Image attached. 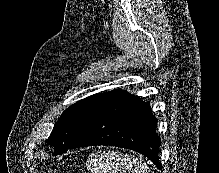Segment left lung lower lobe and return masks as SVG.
Instances as JSON below:
<instances>
[{
	"instance_id": "1",
	"label": "left lung lower lobe",
	"mask_w": 219,
	"mask_h": 173,
	"mask_svg": "<svg viewBox=\"0 0 219 173\" xmlns=\"http://www.w3.org/2000/svg\"><path fill=\"white\" fill-rule=\"evenodd\" d=\"M156 124L149 103L121 91L99 109L68 149L93 145L123 147L145 155L162 169Z\"/></svg>"
}]
</instances>
